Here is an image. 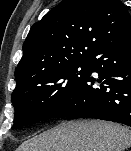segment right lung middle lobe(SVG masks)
Masks as SVG:
<instances>
[{"label": "right lung middle lobe", "instance_id": "right-lung-middle-lobe-1", "mask_svg": "<svg viewBox=\"0 0 131 151\" xmlns=\"http://www.w3.org/2000/svg\"><path fill=\"white\" fill-rule=\"evenodd\" d=\"M89 71V63H78L44 73L15 88L11 99L14 128L52 118L88 78Z\"/></svg>", "mask_w": 131, "mask_h": 151}]
</instances>
